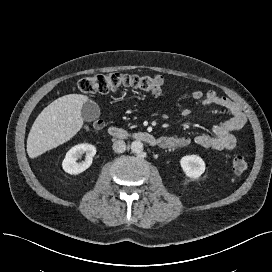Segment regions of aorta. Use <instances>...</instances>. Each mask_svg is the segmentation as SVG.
I'll return each instance as SVG.
<instances>
[{"instance_id": "obj_1", "label": "aorta", "mask_w": 272, "mask_h": 272, "mask_svg": "<svg viewBox=\"0 0 272 272\" xmlns=\"http://www.w3.org/2000/svg\"><path fill=\"white\" fill-rule=\"evenodd\" d=\"M131 151L139 154L143 151V143L140 140H135L131 143Z\"/></svg>"}]
</instances>
